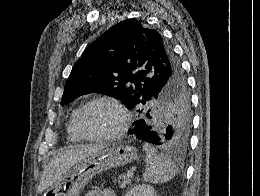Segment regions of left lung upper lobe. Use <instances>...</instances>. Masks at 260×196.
<instances>
[{"label": "left lung upper lobe", "instance_id": "obj_1", "mask_svg": "<svg viewBox=\"0 0 260 196\" xmlns=\"http://www.w3.org/2000/svg\"><path fill=\"white\" fill-rule=\"evenodd\" d=\"M93 92L136 108L159 134V145L187 148L192 115L186 82L172 48L157 30L126 19L88 46L66 81L61 105Z\"/></svg>", "mask_w": 260, "mask_h": 196}]
</instances>
